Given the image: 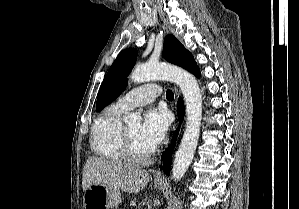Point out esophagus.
I'll list each match as a JSON object with an SVG mask.
<instances>
[{
	"label": "esophagus",
	"instance_id": "34e87169",
	"mask_svg": "<svg viewBox=\"0 0 299 209\" xmlns=\"http://www.w3.org/2000/svg\"><path fill=\"white\" fill-rule=\"evenodd\" d=\"M175 90H176V95L178 96L179 95L178 90L177 89H175ZM155 179L158 181H162V180H164V176L161 172H157L155 175Z\"/></svg>",
	"mask_w": 299,
	"mask_h": 209
}]
</instances>
